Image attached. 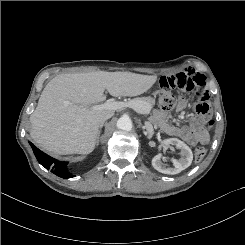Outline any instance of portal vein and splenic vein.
I'll list each match as a JSON object with an SVG mask.
<instances>
[{
    "mask_svg": "<svg viewBox=\"0 0 245 245\" xmlns=\"http://www.w3.org/2000/svg\"><path fill=\"white\" fill-rule=\"evenodd\" d=\"M126 107H130L136 110L138 113H142V114H148L151 109L150 106H145L140 109L137 104H134L132 102H120V101H109V100L103 104L93 106V109L95 110H102V109L118 110V109H124Z\"/></svg>",
    "mask_w": 245,
    "mask_h": 245,
    "instance_id": "18ae733b",
    "label": "portal vein and splenic vein"
}]
</instances>
